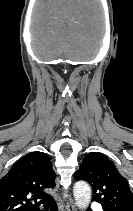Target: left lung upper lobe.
Here are the masks:
<instances>
[{
	"label": "left lung upper lobe",
	"instance_id": "5c2ea615",
	"mask_svg": "<svg viewBox=\"0 0 133 211\" xmlns=\"http://www.w3.org/2000/svg\"><path fill=\"white\" fill-rule=\"evenodd\" d=\"M75 179L85 180L92 186L93 201L100 203L104 211H133V193L127 181L102 153L87 154Z\"/></svg>",
	"mask_w": 133,
	"mask_h": 211
}]
</instances>
